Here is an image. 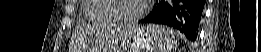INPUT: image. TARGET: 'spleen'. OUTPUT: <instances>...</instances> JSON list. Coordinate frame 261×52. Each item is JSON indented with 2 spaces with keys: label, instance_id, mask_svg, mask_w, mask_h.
Instances as JSON below:
<instances>
[{
  "label": "spleen",
  "instance_id": "obj_1",
  "mask_svg": "<svg viewBox=\"0 0 261 52\" xmlns=\"http://www.w3.org/2000/svg\"><path fill=\"white\" fill-rule=\"evenodd\" d=\"M153 30L154 36L156 37L158 44V52H172L175 49L176 36L173 30H167L162 26H149Z\"/></svg>",
  "mask_w": 261,
  "mask_h": 52
}]
</instances>
